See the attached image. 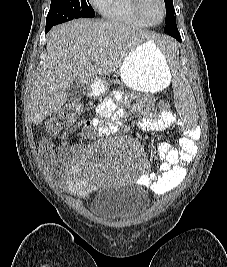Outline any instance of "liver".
I'll return each mask as SVG.
<instances>
[{
  "mask_svg": "<svg viewBox=\"0 0 227 267\" xmlns=\"http://www.w3.org/2000/svg\"><path fill=\"white\" fill-rule=\"evenodd\" d=\"M152 33L116 21L73 20L58 25L47 37V55L30 94L31 121L38 125L61 109L73 82L92 85L121 67L125 58Z\"/></svg>",
  "mask_w": 227,
  "mask_h": 267,
  "instance_id": "obj_1",
  "label": "liver"
}]
</instances>
